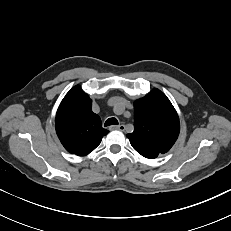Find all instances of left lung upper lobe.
<instances>
[{"label":"left lung upper lobe","mask_w":231,"mask_h":231,"mask_svg":"<svg viewBox=\"0 0 231 231\" xmlns=\"http://www.w3.org/2000/svg\"><path fill=\"white\" fill-rule=\"evenodd\" d=\"M180 131L179 117L166 95L153 89L134 103V132L127 134L132 147L146 158L170 150Z\"/></svg>","instance_id":"5c2ea615"}]
</instances>
